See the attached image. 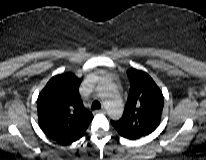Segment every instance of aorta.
<instances>
[{
	"mask_svg": "<svg viewBox=\"0 0 206 160\" xmlns=\"http://www.w3.org/2000/svg\"><path fill=\"white\" fill-rule=\"evenodd\" d=\"M107 112L110 117L118 119L123 114V104L117 95H112L104 99Z\"/></svg>",
	"mask_w": 206,
	"mask_h": 160,
	"instance_id": "762f6f07",
	"label": "aorta"
}]
</instances>
